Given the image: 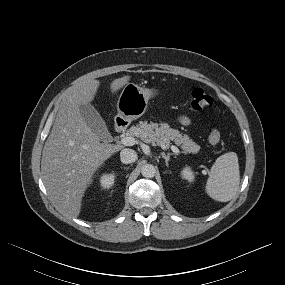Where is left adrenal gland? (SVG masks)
I'll use <instances>...</instances> for the list:
<instances>
[{
  "label": "left adrenal gland",
  "mask_w": 285,
  "mask_h": 285,
  "mask_svg": "<svg viewBox=\"0 0 285 285\" xmlns=\"http://www.w3.org/2000/svg\"><path fill=\"white\" fill-rule=\"evenodd\" d=\"M172 155H175V154L174 153H168L166 155L164 152L161 153V156H162V158L165 159V162H166L167 166H168V162H169L170 156H172Z\"/></svg>",
  "instance_id": "1"
}]
</instances>
